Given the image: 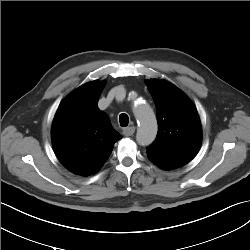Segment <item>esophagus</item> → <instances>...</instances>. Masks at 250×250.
Returning <instances> with one entry per match:
<instances>
[{"mask_svg": "<svg viewBox=\"0 0 250 250\" xmlns=\"http://www.w3.org/2000/svg\"><path fill=\"white\" fill-rule=\"evenodd\" d=\"M135 133V127L134 126H130V127H126L123 129V134L125 136H132Z\"/></svg>", "mask_w": 250, "mask_h": 250, "instance_id": "34e87169", "label": "esophagus"}]
</instances>
